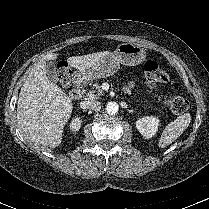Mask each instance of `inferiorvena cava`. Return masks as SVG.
Here are the masks:
<instances>
[{
	"mask_svg": "<svg viewBox=\"0 0 209 209\" xmlns=\"http://www.w3.org/2000/svg\"><path fill=\"white\" fill-rule=\"evenodd\" d=\"M81 107L84 109L87 108L90 110L99 111L101 109V103L99 101L85 99V101L81 102Z\"/></svg>",
	"mask_w": 209,
	"mask_h": 209,
	"instance_id": "602c4592",
	"label": "inferior vena cava"
}]
</instances>
